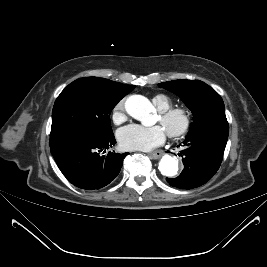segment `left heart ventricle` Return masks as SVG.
I'll list each match as a JSON object with an SVG mask.
<instances>
[{
	"mask_svg": "<svg viewBox=\"0 0 267 267\" xmlns=\"http://www.w3.org/2000/svg\"><path fill=\"white\" fill-rule=\"evenodd\" d=\"M159 121H160V119H159ZM160 123H161V121H160ZM162 125H163L164 129L167 130L168 128H177L178 125H179V122L178 121H173L169 126L164 125V124H162Z\"/></svg>",
	"mask_w": 267,
	"mask_h": 267,
	"instance_id": "b2bd125f",
	"label": "left heart ventricle"
}]
</instances>
